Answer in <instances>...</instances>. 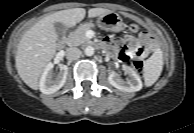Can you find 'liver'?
Masks as SVG:
<instances>
[{"instance_id":"liver-1","label":"liver","mask_w":194,"mask_h":133,"mask_svg":"<svg viewBox=\"0 0 194 133\" xmlns=\"http://www.w3.org/2000/svg\"><path fill=\"white\" fill-rule=\"evenodd\" d=\"M112 12L104 8H91L88 17L94 18ZM84 8L57 11L39 20L22 36L15 57L20 78L30 88H39V79L56 53L58 36L54 24L59 22L73 27L84 19Z\"/></svg>"}]
</instances>
